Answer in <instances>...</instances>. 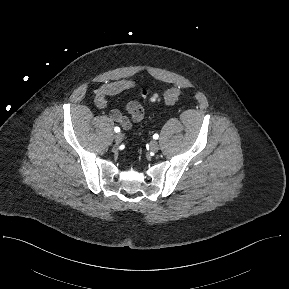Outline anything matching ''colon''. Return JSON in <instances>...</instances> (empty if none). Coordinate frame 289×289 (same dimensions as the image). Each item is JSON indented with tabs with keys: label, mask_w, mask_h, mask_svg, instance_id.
Masks as SVG:
<instances>
[{
	"label": "colon",
	"mask_w": 289,
	"mask_h": 289,
	"mask_svg": "<svg viewBox=\"0 0 289 289\" xmlns=\"http://www.w3.org/2000/svg\"><path fill=\"white\" fill-rule=\"evenodd\" d=\"M143 95H147L146 91L142 92ZM181 90L178 88H170L168 89L162 97H159L156 94L151 95L150 99L153 102H158V101H163L165 104L167 105H171L174 104L176 101L179 100V98L181 97Z\"/></svg>",
	"instance_id": "obj_1"
}]
</instances>
